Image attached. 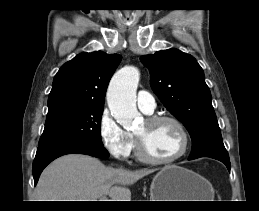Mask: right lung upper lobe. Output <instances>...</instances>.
<instances>
[{
  "instance_id": "1",
  "label": "right lung upper lobe",
  "mask_w": 259,
  "mask_h": 211,
  "mask_svg": "<svg viewBox=\"0 0 259 211\" xmlns=\"http://www.w3.org/2000/svg\"><path fill=\"white\" fill-rule=\"evenodd\" d=\"M121 61L118 54L81 53L55 75L46 120L83 108H103L108 83Z\"/></svg>"
}]
</instances>
